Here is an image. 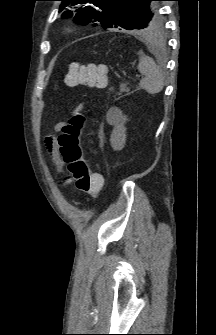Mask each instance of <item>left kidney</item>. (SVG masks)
I'll list each match as a JSON object with an SVG mask.
<instances>
[{
    "instance_id": "obj_1",
    "label": "left kidney",
    "mask_w": 216,
    "mask_h": 335,
    "mask_svg": "<svg viewBox=\"0 0 216 335\" xmlns=\"http://www.w3.org/2000/svg\"><path fill=\"white\" fill-rule=\"evenodd\" d=\"M128 118L124 116L121 122L114 126L110 136V144L114 151H120L124 148L126 143V127L125 123Z\"/></svg>"
}]
</instances>
